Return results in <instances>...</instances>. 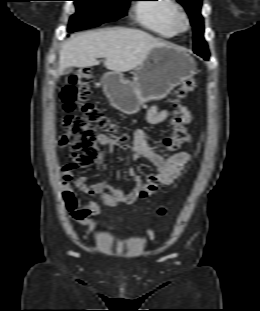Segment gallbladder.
Wrapping results in <instances>:
<instances>
[{
    "instance_id": "bac80fb5",
    "label": "gallbladder",
    "mask_w": 260,
    "mask_h": 311,
    "mask_svg": "<svg viewBox=\"0 0 260 311\" xmlns=\"http://www.w3.org/2000/svg\"><path fill=\"white\" fill-rule=\"evenodd\" d=\"M73 71V69L72 68H65L64 70H63V75H67V74H69V73H71Z\"/></svg>"
}]
</instances>
